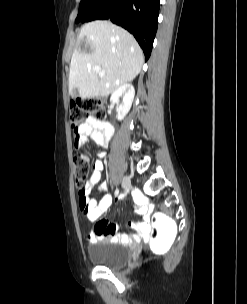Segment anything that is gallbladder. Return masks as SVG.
<instances>
[{
    "mask_svg": "<svg viewBox=\"0 0 247 304\" xmlns=\"http://www.w3.org/2000/svg\"><path fill=\"white\" fill-rule=\"evenodd\" d=\"M77 93H78V90L75 88V89H73V91H72V95L73 96H76L77 95Z\"/></svg>",
    "mask_w": 247,
    "mask_h": 304,
    "instance_id": "1",
    "label": "gallbladder"
}]
</instances>
